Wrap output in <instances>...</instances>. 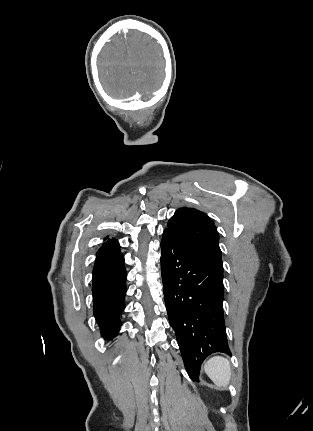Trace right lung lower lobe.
I'll return each mask as SVG.
<instances>
[{"instance_id": "98d812e1", "label": "right lung lower lobe", "mask_w": 313, "mask_h": 431, "mask_svg": "<svg viewBox=\"0 0 313 431\" xmlns=\"http://www.w3.org/2000/svg\"><path fill=\"white\" fill-rule=\"evenodd\" d=\"M119 247L116 239L106 241L97 252L93 268L94 317L101 335L108 340L117 336L125 308L127 273Z\"/></svg>"}]
</instances>
